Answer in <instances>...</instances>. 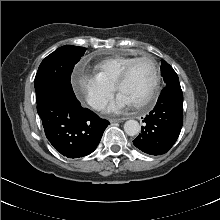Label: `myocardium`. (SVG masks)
Returning <instances> with one entry per match:
<instances>
[{
  "instance_id": "obj_1",
  "label": "myocardium",
  "mask_w": 220,
  "mask_h": 220,
  "mask_svg": "<svg viewBox=\"0 0 220 220\" xmlns=\"http://www.w3.org/2000/svg\"><path fill=\"white\" fill-rule=\"evenodd\" d=\"M146 59L150 60V62L152 63V66H153V81H152L150 92L147 95V97L144 100H142L141 102L133 104L136 108H143V107L149 105L150 103L153 102V100L155 99V97L157 95L159 84H160V68H159V64L156 61V59L151 55H143L140 57H136L125 67V69L123 70L122 74L120 75V77L116 83V89H117V91L120 92L121 87L128 80V78L132 72L133 67L138 62H140L142 60H146Z\"/></svg>"
}]
</instances>
